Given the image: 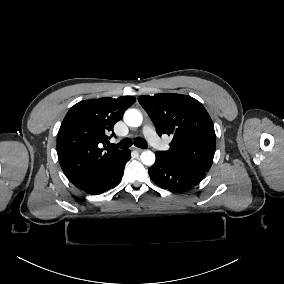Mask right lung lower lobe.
Returning <instances> with one entry per match:
<instances>
[{"label": "right lung lower lobe", "instance_id": "98d812e1", "mask_svg": "<svg viewBox=\"0 0 284 284\" xmlns=\"http://www.w3.org/2000/svg\"><path fill=\"white\" fill-rule=\"evenodd\" d=\"M130 153L129 149H125L105 170L80 189L88 194L98 195L117 186L123 176L125 164L131 158Z\"/></svg>", "mask_w": 284, "mask_h": 284}]
</instances>
